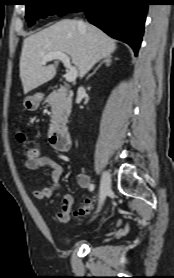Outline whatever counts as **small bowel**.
<instances>
[{
    "label": "small bowel",
    "instance_id": "c3829d8e",
    "mask_svg": "<svg viewBox=\"0 0 174 278\" xmlns=\"http://www.w3.org/2000/svg\"><path fill=\"white\" fill-rule=\"evenodd\" d=\"M24 167L27 170H37L42 167H49L52 170L51 179L52 184L48 187L42 189H36L33 191L34 199L42 201L46 198L52 197L60 187L59 181L63 173L62 166L57 163L55 160L48 156L39 155L32 159L24 161ZM77 184L83 189L90 190L92 186L91 178L86 173H81L77 176ZM91 191V190H90ZM73 206V197L70 194H67L63 198V204L60 211L57 214V221L59 223H66L70 219V214Z\"/></svg>",
    "mask_w": 174,
    "mask_h": 278
}]
</instances>
